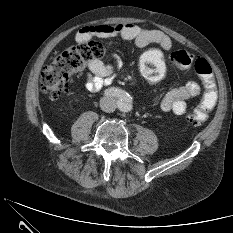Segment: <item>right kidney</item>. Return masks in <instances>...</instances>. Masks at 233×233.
Returning <instances> with one entry per match:
<instances>
[{
  "label": "right kidney",
  "mask_w": 233,
  "mask_h": 233,
  "mask_svg": "<svg viewBox=\"0 0 233 233\" xmlns=\"http://www.w3.org/2000/svg\"><path fill=\"white\" fill-rule=\"evenodd\" d=\"M80 100L79 99H76V102H79Z\"/></svg>",
  "instance_id": "1"
}]
</instances>
